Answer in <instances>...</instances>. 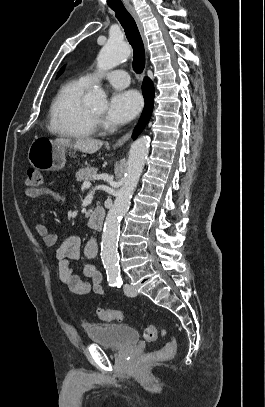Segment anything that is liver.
Returning a JSON list of instances; mask_svg holds the SVG:
<instances>
[{
    "label": "liver",
    "mask_w": 265,
    "mask_h": 407,
    "mask_svg": "<svg viewBox=\"0 0 265 407\" xmlns=\"http://www.w3.org/2000/svg\"><path fill=\"white\" fill-rule=\"evenodd\" d=\"M54 142L65 147H73L74 149L88 154L97 152L103 145L101 140L91 138L76 139L73 142L70 139L57 138Z\"/></svg>",
    "instance_id": "obj_1"
}]
</instances>
